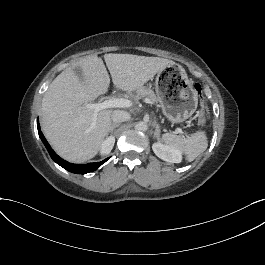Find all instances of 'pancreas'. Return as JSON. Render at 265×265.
<instances>
[{
    "label": "pancreas",
    "instance_id": "cf45deb5",
    "mask_svg": "<svg viewBox=\"0 0 265 265\" xmlns=\"http://www.w3.org/2000/svg\"><path fill=\"white\" fill-rule=\"evenodd\" d=\"M132 97L135 101L145 97L150 99L152 103H158L160 101V99L155 95L154 91L145 86L138 88L136 90V94L132 95Z\"/></svg>",
    "mask_w": 265,
    "mask_h": 265
}]
</instances>
